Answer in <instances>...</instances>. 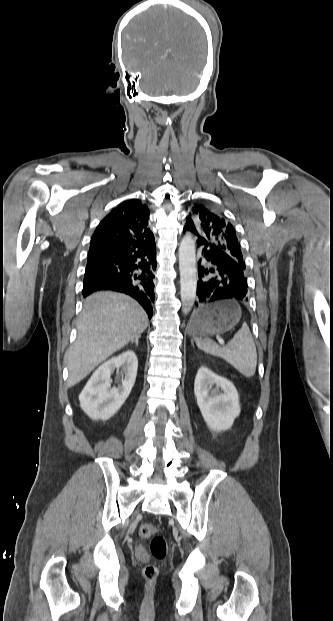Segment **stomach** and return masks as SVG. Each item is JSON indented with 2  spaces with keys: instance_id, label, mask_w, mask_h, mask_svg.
<instances>
[{
  "instance_id": "1",
  "label": "stomach",
  "mask_w": 333,
  "mask_h": 621,
  "mask_svg": "<svg viewBox=\"0 0 333 621\" xmlns=\"http://www.w3.org/2000/svg\"><path fill=\"white\" fill-rule=\"evenodd\" d=\"M240 318L241 310L236 302H216L197 311L189 326V332L194 336L222 334L234 328Z\"/></svg>"
}]
</instances>
